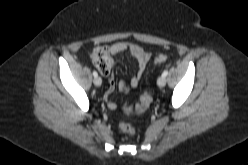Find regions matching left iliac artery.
Returning <instances> with one entry per match:
<instances>
[{"instance_id": "left-iliac-artery-1", "label": "left iliac artery", "mask_w": 248, "mask_h": 165, "mask_svg": "<svg viewBox=\"0 0 248 165\" xmlns=\"http://www.w3.org/2000/svg\"><path fill=\"white\" fill-rule=\"evenodd\" d=\"M167 74H168V70H164V72L162 73V76H163V77H166Z\"/></svg>"}]
</instances>
